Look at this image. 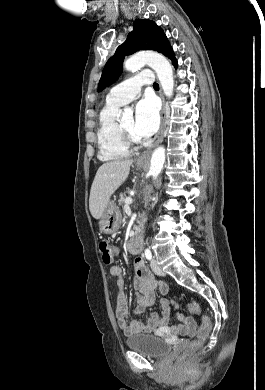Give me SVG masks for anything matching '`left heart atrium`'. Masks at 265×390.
Instances as JSON below:
<instances>
[{
  "label": "left heart atrium",
  "mask_w": 265,
  "mask_h": 390,
  "mask_svg": "<svg viewBox=\"0 0 265 390\" xmlns=\"http://www.w3.org/2000/svg\"><path fill=\"white\" fill-rule=\"evenodd\" d=\"M160 117L157 104L150 98L141 100L135 111L134 132L138 138L152 136L159 127Z\"/></svg>",
  "instance_id": "1"
}]
</instances>
